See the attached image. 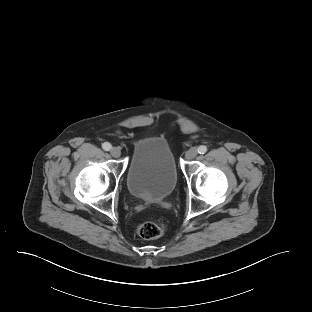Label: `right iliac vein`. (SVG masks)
<instances>
[{
    "instance_id": "63e3f726",
    "label": "right iliac vein",
    "mask_w": 312,
    "mask_h": 312,
    "mask_svg": "<svg viewBox=\"0 0 312 312\" xmlns=\"http://www.w3.org/2000/svg\"><path fill=\"white\" fill-rule=\"evenodd\" d=\"M110 154L113 157L118 158L121 155V151H120V149L118 147H112L111 150H110Z\"/></svg>"
}]
</instances>
